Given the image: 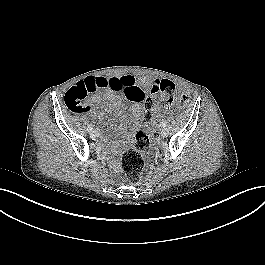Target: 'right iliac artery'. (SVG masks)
<instances>
[{
    "mask_svg": "<svg viewBox=\"0 0 265 265\" xmlns=\"http://www.w3.org/2000/svg\"><path fill=\"white\" fill-rule=\"evenodd\" d=\"M92 130H93V127H92L91 124H89V125L87 126V131H88V132H92Z\"/></svg>",
    "mask_w": 265,
    "mask_h": 265,
    "instance_id": "82829eb1",
    "label": "right iliac artery"
}]
</instances>
